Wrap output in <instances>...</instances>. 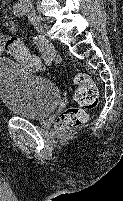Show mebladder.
I'll return each instance as SVG.
<instances>
[{"mask_svg":"<svg viewBox=\"0 0 123 201\" xmlns=\"http://www.w3.org/2000/svg\"><path fill=\"white\" fill-rule=\"evenodd\" d=\"M59 99V89L51 80L29 73L17 60L0 57V102L16 116L44 119Z\"/></svg>","mask_w":123,"mask_h":201,"instance_id":"obj_1","label":"bladder"}]
</instances>
